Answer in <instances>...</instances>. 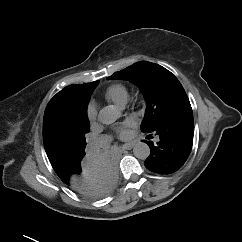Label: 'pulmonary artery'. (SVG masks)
I'll use <instances>...</instances> for the list:
<instances>
[{
	"label": "pulmonary artery",
	"mask_w": 242,
	"mask_h": 242,
	"mask_svg": "<svg viewBox=\"0 0 242 242\" xmlns=\"http://www.w3.org/2000/svg\"><path fill=\"white\" fill-rule=\"evenodd\" d=\"M107 143V138L100 139L92 144L94 149H98Z\"/></svg>",
	"instance_id": "1"
}]
</instances>
